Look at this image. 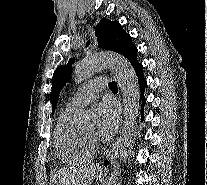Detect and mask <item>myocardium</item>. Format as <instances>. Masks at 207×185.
Listing matches in <instances>:
<instances>
[{
  "label": "myocardium",
  "mask_w": 207,
  "mask_h": 185,
  "mask_svg": "<svg viewBox=\"0 0 207 185\" xmlns=\"http://www.w3.org/2000/svg\"><path fill=\"white\" fill-rule=\"evenodd\" d=\"M87 136L90 138V140L92 141L93 144H95V145L99 144L100 141L94 133H89V134H87Z\"/></svg>",
  "instance_id": "myocardium-1"
}]
</instances>
